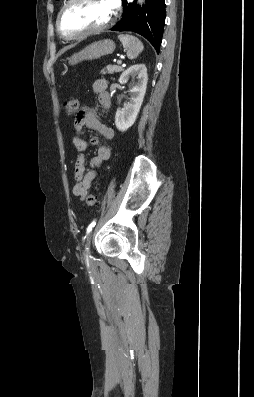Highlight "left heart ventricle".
<instances>
[{
  "label": "left heart ventricle",
  "mask_w": 254,
  "mask_h": 397,
  "mask_svg": "<svg viewBox=\"0 0 254 397\" xmlns=\"http://www.w3.org/2000/svg\"><path fill=\"white\" fill-rule=\"evenodd\" d=\"M111 13L107 0H76L65 10L61 27L68 34L79 33L104 24Z\"/></svg>",
  "instance_id": "left-heart-ventricle-1"
}]
</instances>
